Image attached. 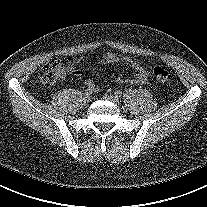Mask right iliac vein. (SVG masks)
Segmentation results:
<instances>
[{
  "mask_svg": "<svg viewBox=\"0 0 207 207\" xmlns=\"http://www.w3.org/2000/svg\"><path fill=\"white\" fill-rule=\"evenodd\" d=\"M90 100H91V98L89 95H87V94L83 95L82 101L84 104H88L90 102Z\"/></svg>",
  "mask_w": 207,
  "mask_h": 207,
  "instance_id": "right-iliac-vein-1",
  "label": "right iliac vein"
}]
</instances>
